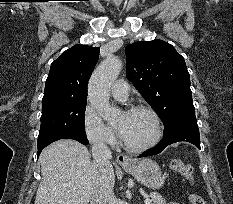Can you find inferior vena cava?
I'll list each match as a JSON object with an SVG mask.
<instances>
[{
	"mask_svg": "<svg viewBox=\"0 0 233 204\" xmlns=\"http://www.w3.org/2000/svg\"><path fill=\"white\" fill-rule=\"evenodd\" d=\"M92 155L101 169V177L97 189L92 195L90 204H116L113 192V181L110 175L111 150L103 142H96L92 146Z\"/></svg>",
	"mask_w": 233,
	"mask_h": 204,
	"instance_id": "1",
	"label": "inferior vena cava"
}]
</instances>
